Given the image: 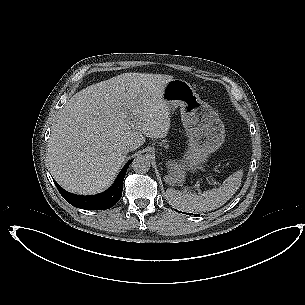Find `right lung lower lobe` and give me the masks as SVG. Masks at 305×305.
I'll return each mask as SVG.
<instances>
[{
	"label": "right lung lower lobe",
	"instance_id": "1",
	"mask_svg": "<svg viewBox=\"0 0 305 305\" xmlns=\"http://www.w3.org/2000/svg\"><path fill=\"white\" fill-rule=\"evenodd\" d=\"M130 163L131 161L126 163V165L120 171L114 184L108 190L97 195L79 196V195L71 194L65 191L63 188H61L55 181L54 183L60 194L63 196V198L71 205L77 208H81L85 210L109 209L115 203H117L122 196L123 180Z\"/></svg>",
	"mask_w": 305,
	"mask_h": 305
}]
</instances>
